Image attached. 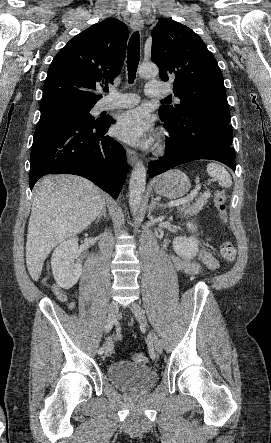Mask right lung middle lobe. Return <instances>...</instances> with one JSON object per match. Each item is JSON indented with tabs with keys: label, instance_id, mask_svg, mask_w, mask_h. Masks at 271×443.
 <instances>
[{
	"label": "right lung middle lobe",
	"instance_id": "right-lung-middle-lobe-1",
	"mask_svg": "<svg viewBox=\"0 0 271 443\" xmlns=\"http://www.w3.org/2000/svg\"><path fill=\"white\" fill-rule=\"evenodd\" d=\"M95 103L80 102L72 99H60L41 103V117H49L54 115H73L90 123H95L101 119H94L90 115V110Z\"/></svg>",
	"mask_w": 271,
	"mask_h": 443
}]
</instances>
